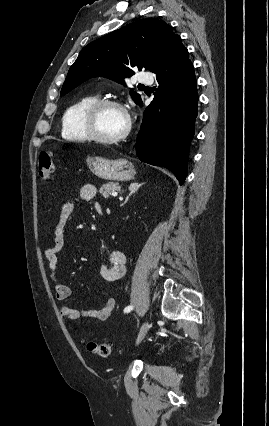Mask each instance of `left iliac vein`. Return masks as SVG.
<instances>
[{"mask_svg":"<svg viewBox=\"0 0 269 426\" xmlns=\"http://www.w3.org/2000/svg\"><path fill=\"white\" fill-rule=\"evenodd\" d=\"M148 329H149V323H148V321H145L143 323V325L141 326L140 332H139L137 340H136V345H138L144 339V337L147 334Z\"/></svg>","mask_w":269,"mask_h":426,"instance_id":"obj_1","label":"left iliac vein"}]
</instances>
